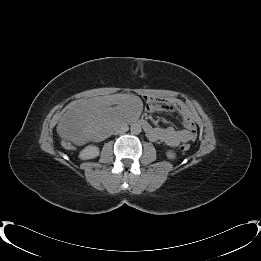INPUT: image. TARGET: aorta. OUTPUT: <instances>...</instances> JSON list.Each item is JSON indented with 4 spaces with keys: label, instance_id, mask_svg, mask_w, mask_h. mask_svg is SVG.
Listing matches in <instances>:
<instances>
[{
    "label": "aorta",
    "instance_id": "1",
    "mask_svg": "<svg viewBox=\"0 0 261 261\" xmlns=\"http://www.w3.org/2000/svg\"><path fill=\"white\" fill-rule=\"evenodd\" d=\"M130 131L134 135L140 134L141 131H142L141 125L137 124V123L132 124L131 127H130Z\"/></svg>",
    "mask_w": 261,
    "mask_h": 261
}]
</instances>
